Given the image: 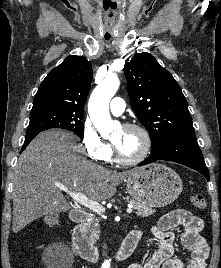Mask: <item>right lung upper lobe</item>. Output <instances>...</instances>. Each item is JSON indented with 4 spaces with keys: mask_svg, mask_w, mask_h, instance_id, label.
<instances>
[{
    "mask_svg": "<svg viewBox=\"0 0 221 268\" xmlns=\"http://www.w3.org/2000/svg\"><path fill=\"white\" fill-rule=\"evenodd\" d=\"M92 77L93 69L86 58L68 56L41 83L31 111L64 109L84 112Z\"/></svg>",
    "mask_w": 221,
    "mask_h": 268,
    "instance_id": "right-lung-upper-lobe-1",
    "label": "right lung upper lobe"
}]
</instances>
